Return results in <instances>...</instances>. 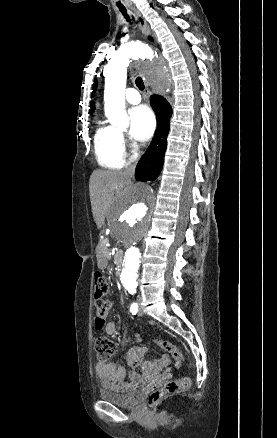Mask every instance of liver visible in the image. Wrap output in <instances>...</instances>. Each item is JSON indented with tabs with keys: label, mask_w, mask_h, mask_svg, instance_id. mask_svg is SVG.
<instances>
[{
	"label": "liver",
	"mask_w": 277,
	"mask_h": 438,
	"mask_svg": "<svg viewBox=\"0 0 277 438\" xmlns=\"http://www.w3.org/2000/svg\"><path fill=\"white\" fill-rule=\"evenodd\" d=\"M127 184H130V178L121 170L118 172L94 170L90 178L89 190L92 214L98 230L102 228L111 205H116L114 192H117L118 188H126Z\"/></svg>",
	"instance_id": "1"
}]
</instances>
